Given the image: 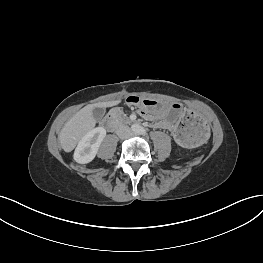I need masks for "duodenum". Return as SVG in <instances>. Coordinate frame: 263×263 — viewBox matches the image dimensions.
<instances>
[{
	"mask_svg": "<svg viewBox=\"0 0 263 263\" xmlns=\"http://www.w3.org/2000/svg\"><path fill=\"white\" fill-rule=\"evenodd\" d=\"M104 125L106 126V128L108 129H113L116 127L117 122L115 120V118L112 115H108L105 119H104Z\"/></svg>",
	"mask_w": 263,
	"mask_h": 263,
	"instance_id": "1",
	"label": "duodenum"
}]
</instances>
